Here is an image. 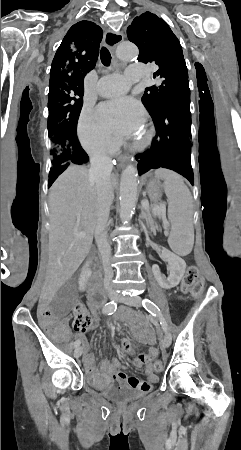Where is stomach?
Masks as SVG:
<instances>
[{
	"label": "stomach",
	"instance_id": "stomach-1",
	"mask_svg": "<svg viewBox=\"0 0 241 450\" xmlns=\"http://www.w3.org/2000/svg\"><path fill=\"white\" fill-rule=\"evenodd\" d=\"M146 190L152 202H158L160 200L162 193L159 180H150L146 185Z\"/></svg>",
	"mask_w": 241,
	"mask_h": 450
}]
</instances>
